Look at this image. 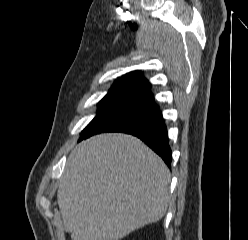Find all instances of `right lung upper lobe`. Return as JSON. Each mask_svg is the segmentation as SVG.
<instances>
[{
  "label": "right lung upper lobe",
  "instance_id": "1",
  "mask_svg": "<svg viewBox=\"0 0 248 240\" xmlns=\"http://www.w3.org/2000/svg\"><path fill=\"white\" fill-rule=\"evenodd\" d=\"M109 93L131 97L137 102L153 98L149 82L143 78L139 71L128 73L116 80Z\"/></svg>",
  "mask_w": 248,
  "mask_h": 240
}]
</instances>
